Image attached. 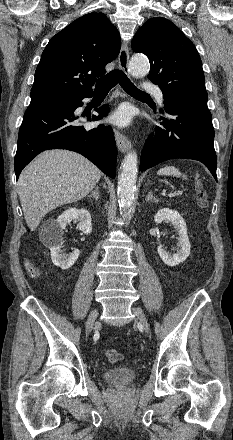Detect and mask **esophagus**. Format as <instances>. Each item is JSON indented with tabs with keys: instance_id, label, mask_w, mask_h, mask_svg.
Returning <instances> with one entry per match:
<instances>
[{
	"instance_id": "esophagus-1",
	"label": "esophagus",
	"mask_w": 233,
	"mask_h": 440,
	"mask_svg": "<svg viewBox=\"0 0 233 440\" xmlns=\"http://www.w3.org/2000/svg\"><path fill=\"white\" fill-rule=\"evenodd\" d=\"M128 62H129V48L127 44L124 43L118 57V64H119V69L123 71L125 74L129 75ZM115 138H116L117 147L121 152L125 153L130 149L131 143L124 134H122L119 131H115Z\"/></svg>"
}]
</instances>
